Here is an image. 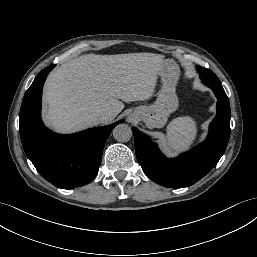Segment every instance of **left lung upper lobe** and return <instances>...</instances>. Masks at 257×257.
<instances>
[{"mask_svg":"<svg viewBox=\"0 0 257 257\" xmlns=\"http://www.w3.org/2000/svg\"><path fill=\"white\" fill-rule=\"evenodd\" d=\"M197 71L205 85L209 86L210 88H223L220 80L211 70L197 66Z\"/></svg>","mask_w":257,"mask_h":257,"instance_id":"1","label":"left lung upper lobe"}]
</instances>
